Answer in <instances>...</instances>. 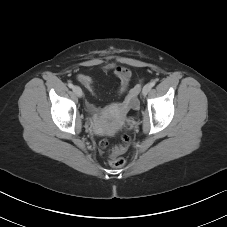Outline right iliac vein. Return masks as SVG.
Masks as SVG:
<instances>
[{"label":"right iliac vein","mask_w":227,"mask_h":227,"mask_svg":"<svg viewBox=\"0 0 227 227\" xmlns=\"http://www.w3.org/2000/svg\"><path fill=\"white\" fill-rule=\"evenodd\" d=\"M73 92L78 96V97H82L83 92L82 89L79 86H74L73 87Z\"/></svg>","instance_id":"obj_1"}]
</instances>
